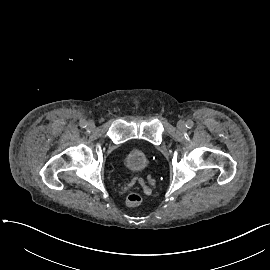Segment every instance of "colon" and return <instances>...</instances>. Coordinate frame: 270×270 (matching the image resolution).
<instances>
[{
  "instance_id": "obj_1",
  "label": "colon",
  "mask_w": 270,
  "mask_h": 270,
  "mask_svg": "<svg viewBox=\"0 0 270 270\" xmlns=\"http://www.w3.org/2000/svg\"><path fill=\"white\" fill-rule=\"evenodd\" d=\"M142 201H143L142 195L137 192L129 193L125 200L128 206H138L142 203Z\"/></svg>"
}]
</instances>
